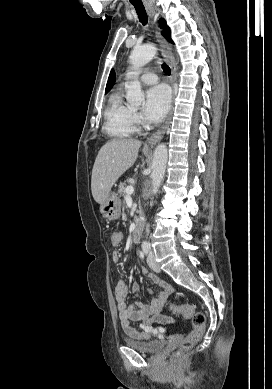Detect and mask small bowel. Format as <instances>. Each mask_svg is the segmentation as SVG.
Instances as JSON below:
<instances>
[{"mask_svg": "<svg viewBox=\"0 0 272 389\" xmlns=\"http://www.w3.org/2000/svg\"><path fill=\"white\" fill-rule=\"evenodd\" d=\"M112 260L115 263H119L121 261V255L118 252H114L112 254ZM143 274L160 287L159 292L150 304L135 302L128 305L126 301L128 296L126 282L119 280L115 286V297L121 326L129 337L138 340L149 339L158 333L159 325L171 322L170 317L162 314L166 300L172 292L171 285L145 269L143 270ZM132 289L133 292L138 293V286L136 284L133 285ZM135 322H139V328L134 327L133 323Z\"/></svg>", "mask_w": 272, "mask_h": 389, "instance_id": "1", "label": "small bowel"}]
</instances>
